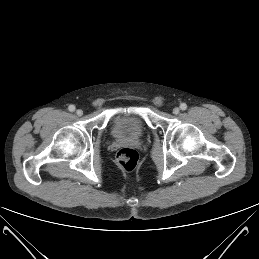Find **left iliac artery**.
<instances>
[{
  "mask_svg": "<svg viewBox=\"0 0 259 259\" xmlns=\"http://www.w3.org/2000/svg\"><path fill=\"white\" fill-rule=\"evenodd\" d=\"M180 108L181 110H186L187 105L185 103H181Z\"/></svg>",
  "mask_w": 259,
  "mask_h": 259,
  "instance_id": "1",
  "label": "left iliac artery"
}]
</instances>
